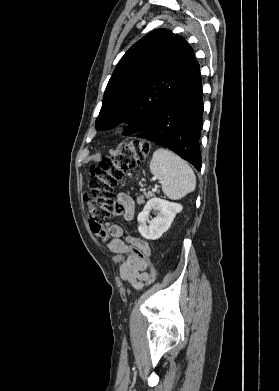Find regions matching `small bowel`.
Wrapping results in <instances>:
<instances>
[{"mask_svg":"<svg viewBox=\"0 0 279 391\" xmlns=\"http://www.w3.org/2000/svg\"><path fill=\"white\" fill-rule=\"evenodd\" d=\"M118 203L123 208V217L125 220H131L134 216V201L125 194L120 193L117 196ZM106 231L111 237L108 243V249L114 253L125 255L126 258L120 267V276L131 285L134 289L140 290L143 283L147 281V268L151 262V250L148 242L138 237H126L129 245L121 238L124 237L123 229L116 224L107 225ZM133 248L140 250L145 254L147 260L139 258L134 252Z\"/></svg>","mask_w":279,"mask_h":391,"instance_id":"obj_1","label":"small bowel"}]
</instances>
